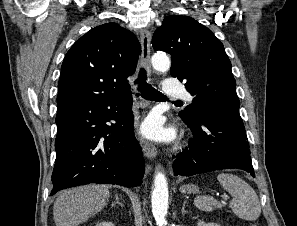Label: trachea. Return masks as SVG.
Returning a JSON list of instances; mask_svg holds the SVG:
<instances>
[{
	"label": "trachea",
	"mask_w": 297,
	"mask_h": 226,
	"mask_svg": "<svg viewBox=\"0 0 297 226\" xmlns=\"http://www.w3.org/2000/svg\"><path fill=\"white\" fill-rule=\"evenodd\" d=\"M146 70L142 68L139 71L138 78L136 83L138 84V90L141 94L149 100H156V101H166L167 99L164 97L162 93L158 90L154 89L151 85L146 82ZM178 103H182L181 101H177Z\"/></svg>",
	"instance_id": "1"
}]
</instances>
